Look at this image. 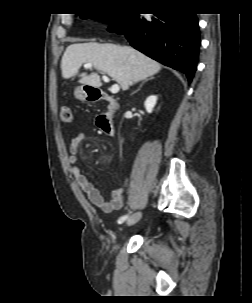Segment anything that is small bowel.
<instances>
[{
	"instance_id": "small-bowel-1",
	"label": "small bowel",
	"mask_w": 252,
	"mask_h": 303,
	"mask_svg": "<svg viewBox=\"0 0 252 303\" xmlns=\"http://www.w3.org/2000/svg\"><path fill=\"white\" fill-rule=\"evenodd\" d=\"M98 125V122H97ZM99 127V125H98ZM86 140L84 133H78L70 142L69 146V166L70 171L80 186L82 191L86 194L89 202L95 207L100 208L105 213H111L121 208L123 203V188L121 186L115 188L111 192V199L105 201L100 190L97 189L84 174L81 173L80 167L77 163V153L79 146Z\"/></svg>"
}]
</instances>
